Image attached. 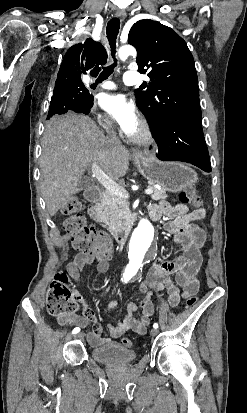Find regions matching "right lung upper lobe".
Wrapping results in <instances>:
<instances>
[{
  "mask_svg": "<svg viewBox=\"0 0 247 413\" xmlns=\"http://www.w3.org/2000/svg\"><path fill=\"white\" fill-rule=\"evenodd\" d=\"M81 61V63H80ZM107 62V53L101 43L87 39L84 44L72 46L66 53L56 83L81 81V74L86 71L98 74L99 65Z\"/></svg>",
  "mask_w": 247,
  "mask_h": 413,
  "instance_id": "right-lung-upper-lobe-1",
  "label": "right lung upper lobe"
}]
</instances>
